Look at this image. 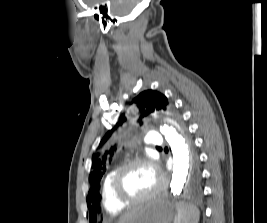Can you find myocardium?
<instances>
[{
    "label": "myocardium",
    "mask_w": 267,
    "mask_h": 223,
    "mask_svg": "<svg viewBox=\"0 0 267 223\" xmlns=\"http://www.w3.org/2000/svg\"><path fill=\"white\" fill-rule=\"evenodd\" d=\"M137 165H147L149 168H151L158 177V184L150 193L140 198L136 199L126 198L121 191V182L125 174L128 172V170ZM164 187H165L164 173L161 171L157 161L148 156L136 157L125 162L118 169V171L116 172L115 176L112 179L113 195L116 198V200L123 205H138L148 202L157 197L163 191Z\"/></svg>",
    "instance_id": "1"
}]
</instances>
